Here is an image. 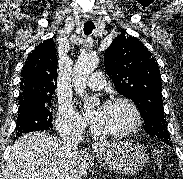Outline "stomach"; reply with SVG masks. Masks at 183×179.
<instances>
[{"mask_svg": "<svg viewBox=\"0 0 183 179\" xmlns=\"http://www.w3.org/2000/svg\"><path fill=\"white\" fill-rule=\"evenodd\" d=\"M96 154L103 166L125 175L138 173L148 161L145 148L130 140L102 143L96 149Z\"/></svg>", "mask_w": 183, "mask_h": 179, "instance_id": "obj_1", "label": "stomach"}]
</instances>
